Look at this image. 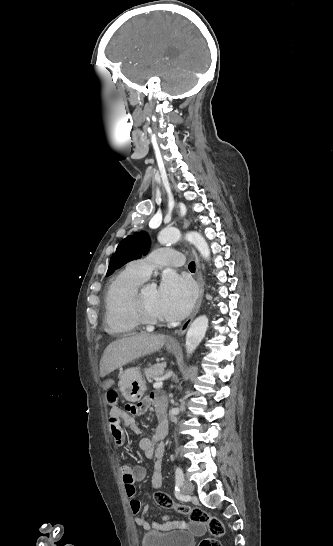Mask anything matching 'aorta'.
<instances>
[{
  "instance_id": "1",
  "label": "aorta",
  "mask_w": 333,
  "mask_h": 546,
  "mask_svg": "<svg viewBox=\"0 0 333 546\" xmlns=\"http://www.w3.org/2000/svg\"><path fill=\"white\" fill-rule=\"evenodd\" d=\"M181 238V231L174 228L165 229L158 236V240L162 244L176 243ZM184 239L192 243L204 259L209 260L210 249L206 240L200 233L188 232L184 235ZM207 328L208 318L206 316H199L191 323L187 331L185 340L186 353L188 357L193 354V352L196 350V348L204 338Z\"/></svg>"
}]
</instances>
